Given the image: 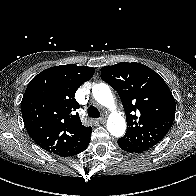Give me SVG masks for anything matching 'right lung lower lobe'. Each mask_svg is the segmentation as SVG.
<instances>
[{
    "label": "right lung lower lobe",
    "instance_id": "right-lung-lower-lobe-1",
    "mask_svg": "<svg viewBox=\"0 0 196 196\" xmlns=\"http://www.w3.org/2000/svg\"><path fill=\"white\" fill-rule=\"evenodd\" d=\"M89 142H90V136H88L83 141H81L80 144L77 145L75 148L71 149L66 154L61 155V156L68 157V156H74L76 154H79V153L83 152L88 147Z\"/></svg>",
    "mask_w": 196,
    "mask_h": 196
}]
</instances>
